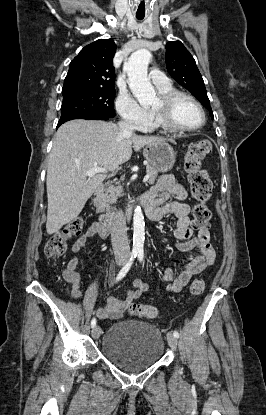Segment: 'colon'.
I'll return each mask as SVG.
<instances>
[{
  "label": "colon",
  "mask_w": 266,
  "mask_h": 415,
  "mask_svg": "<svg viewBox=\"0 0 266 415\" xmlns=\"http://www.w3.org/2000/svg\"><path fill=\"white\" fill-rule=\"evenodd\" d=\"M212 143L209 140H201L193 143L184 159V169L188 176L191 193L196 201L193 207V225L197 229L208 228L211 219V211L207 202L212 194V182L207 172L202 168V161L211 153ZM84 221L81 217L73 218L62 231L54 234L46 243L44 253L48 258L63 256L68 248V240L79 235L83 229ZM205 288L202 278L195 279L190 286L193 296L200 295ZM129 312L132 315L155 318L157 309L146 304H131Z\"/></svg>",
  "instance_id": "1"
}]
</instances>
